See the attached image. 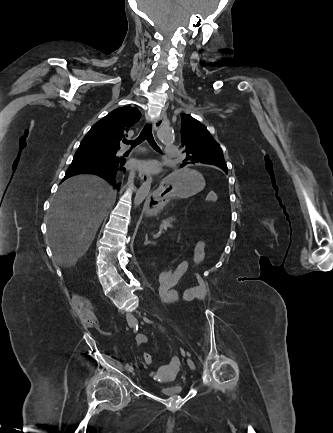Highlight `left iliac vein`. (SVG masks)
<instances>
[{"instance_id":"left-iliac-vein-1","label":"left iliac vein","mask_w":333,"mask_h":433,"mask_svg":"<svg viewBox=\"0 0 333 433\" xmlns=\"http://www.w3.org/2000/svg\"><path fill=\"white\" fill-rule=\"evenodd\" d=\"M187 363L192 370L196 369L195 364L193 363V361L191 359H187Z\"/></svg>"}]
</instances>
